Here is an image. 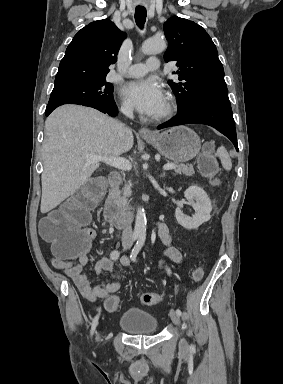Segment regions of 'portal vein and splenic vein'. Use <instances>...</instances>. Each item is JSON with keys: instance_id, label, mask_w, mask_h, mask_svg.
Here are the masks:
<instances>
[{"instance_id": "1", "label": "portal vein and splenic vein", "mask_w": 283, "mask_h": 384, "mask_svg": "<svg viewBox=\"0 0 283 384\" xmlns=\"http://www.w3.org/2000/svg\"><path fill=\"white\" fill-rule=\"evenodd\" d=\"M96 162H105L108 166H113V168H118V170H125V172L132 168L129 160L119 158V156H107V158H102V156H96V154H87L86 164H96ZM163 168L164 170H174L175 164H165Z\"/></svg>"}]
</instances>
